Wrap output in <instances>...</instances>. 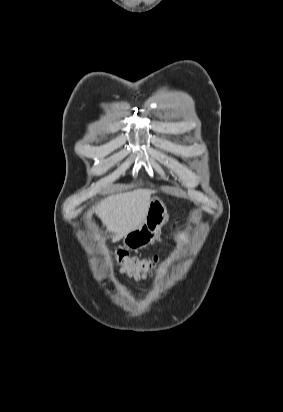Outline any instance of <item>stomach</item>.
Here are the masks:
<instances>
[{"instance_id": "obj_1", "label": "stomach", "mask_w": 283, "mask_h": 412, "mask_svg": "<svg viewBox=\"0 0 283 412\" xmlns=\"http://www.w3.org/2000/svg\"><path fill=\"white\" fill-rule=\"evenodd\" d=\"M168 219L167 208L159 198L151 200L145 221L123 238L127 249L138 250L152 244Z\"/></svg>"}]
</instances>
